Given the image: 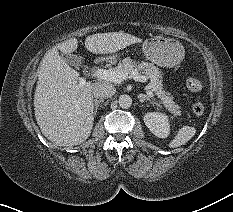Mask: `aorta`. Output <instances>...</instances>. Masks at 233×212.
Listing matches in <instances>:
<instances>
[{"label": "aorta", "mask_w": 233, "mask_h": 212, "mask_svg": "<svg viewBox=\"0 0 233 212\" xmlns=\"http://www.w3.org/2000/svg\"><path fill=\"white\" fill-rule=\"evenodd\" d=\"M118 102L121 108L127 109L132 105V98L129 95H121Z\"/></svg>", "instance_id": "obj_1"}]
</instances>
